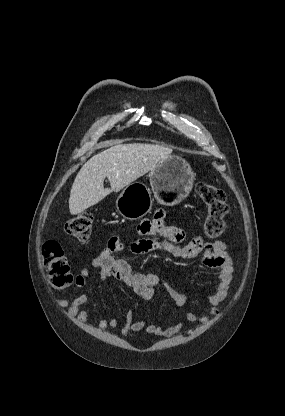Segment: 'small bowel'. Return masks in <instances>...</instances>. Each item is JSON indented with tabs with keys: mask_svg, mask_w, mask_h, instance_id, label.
<instances>
[{
	"mask_svg": "<svg viewBox=\"0 0 285 416\" xmlns=\"http://www.w3.org/2000/svg\"><path fill=\"white\" fill-rule=\"evenodd\" d=\"M138 232L142 237L132 241L128 246L133 254L146 255L153 252H166L180 259H190L202 255V263L206 267L218 271L217 287L206 298V302L212 307L209 314L198 317L194 312L187 311L185 321L206 324L212 318L218 316L220 312L219 305L227 297L234 271L226 243L221 240L206 243L201 237H195L187 244L180 246L179 243L187 238L186 232L182 228L166 224L165 213L161 209L155 212L152 219L143 220L138 227ZM124 248L125 244L118 237H113L100 255L92 260L91 267L99 270V276L102 281L114 278L146 301L154 297L158 286H163L169 292L177 307H184L189 302L190 297L176 291L168 281L160 279L152 273L135 272L126 260L117 258L116 253ZM89 277L90 269L83 268L75 277V286L83 288ZM88 302V294L59 300V304L66 309L68 316L80 324L87 322L88 313L84 309V305ZM118 324L119 321L115 317L109 319L101 318L97 327L102 331H106L115 329ZM182 326L183 322H177L169 327H162L155 323H147L145 320H134L133 312L129 310L125 314V322L121 333L127 336L131 333L145 331L151 335L168 337L179 332Z\"/></svg>",
	"mask_w": 285,
	"mask_h": 416,
	"instance_id": "1",
	"label": "small bowel"
}]
</instances>
